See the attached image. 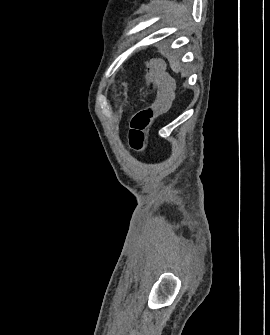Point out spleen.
<instances>
[{
	"instance_id": "spleen-1",
	"label": "spleen",
	"mask_w": 270,
	"mask_h": 335,
	"mask_svg": "<svg viewBox=\"0 0 270 335\" xmlns=\"http://www.w3.org/2000/svg\"><path fill=\"white\" fill-rule=\"evenodd\" d=\"M169 64L173 72H176V74L177 72H181L182 68L180 66V62L177 60V58H174V56H171Z\"/></svg>"
}]
</instances>
